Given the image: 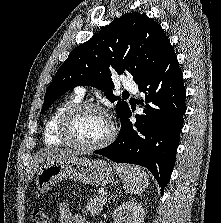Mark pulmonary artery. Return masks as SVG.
Segmentation results:
<instances>
[{
	"label": "pulmonary artery",
	"instance_id": "pulmonary-artery-1",
	"mask_svg": "<svg viewBox=\"0 0 221 223\" xmlns=\"http://www.w3.org/2000/svg\"><path fill=\"white\" fill-rule=\"evenodd\" d=\"M122 84L125 89L131 90L132 92L137 93L138 90H137L136 83L134 80L125 78L122 81ZM75 92L78 93L82 97L85 95V89L82 86L77 87L75 89Z\"/></svg>",
	"mask_w": 221,
	"mask_h": 223
}]
</instances>
